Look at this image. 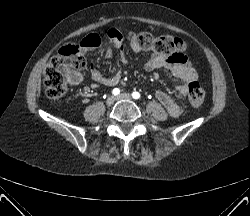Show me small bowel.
<instances>
[{
	"label": "small bowel",
	"instance_id": "c3829d8e",
	"mask_svg": "<svg viewBox=\"0 0 250 216\" xmlns=\"http://www.w3.org/2000/svg\"><path fill=\"white\" fill-rule=\"evenodd\" d=\"M113 40L116 48L121 53L122 64L125 65L127 60L124 55L125 45L121 35L113 37ZM100 45L101 38L97 34H90L86 36L80 43L81 50L84 54L99 47ZM131 47L134 51L140 50V48L134 43L131 44ZM144 68L146 71H154L160 68L169 70L173 78L181 81V83L176 87L177 92L181 96H185L188 93V84L191 81H195L197 78L195 70L189 64L187 57L183 54L164 55L154 53L145 63ZM90 74L95 82L104 86H115L122 79L121 71H118L112 76H105L94 65H91L90 67ZM69 81L71 84L77 85L82 81V75L75 73ZM155 96L171 116L177 117L182 113V106L163 90H157L155 92Z\"/></svg>",
	"mask_w": 250,
	"mask_h": 216
}]
</instances>
